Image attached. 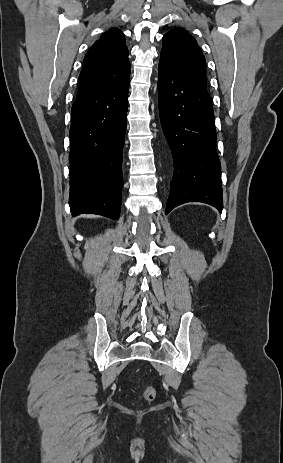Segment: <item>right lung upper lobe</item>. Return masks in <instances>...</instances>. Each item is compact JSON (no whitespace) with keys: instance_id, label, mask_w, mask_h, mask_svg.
<instances>
[{"instance_id":"obj_1","label":"right lung upper lobe","mask_w":283,"mask_h":463,"mask_svg":"<svg viewBox=\"0 0 283 463\" xmlns=\"http://www.w3.org/2000/svg\"><path fill=\"white\" fill-rule=\"evenodd\" d=\"M130 69L124 34L118 28H111L92 45L84 58L77 97L125 80Z\"/></svg>"}]
</instances>
